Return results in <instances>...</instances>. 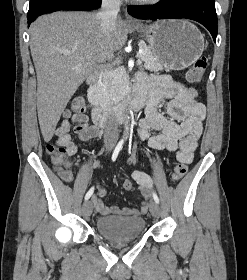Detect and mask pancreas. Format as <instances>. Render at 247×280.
Segmentation results:
<instances>
[{"label":"pancreas","instance_id":"pancreas-1","mask_svg":"<svg viewBox=\"0 0 247 280\" xmlns=\"http://www.w3.org/2000/svg\"><path fill=\"white\" fill-rule=\"evenodd\" d=\"M139 48L143 51L139 59L143 62L144 68L150 71H162V64L156 59L149 47L141 42ZM126 75L122 68L118 67L106 71L100 81L96 84V99L100 104H111L117 101L122 94L123 83Z\"/></svg>","mask_w":247,"mask_h":280}]
</instances>
